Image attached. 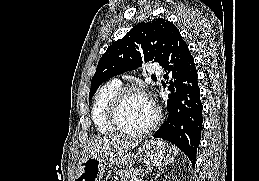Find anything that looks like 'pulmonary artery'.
Returning <instances> with one entry per match:
<instances>
[{"label": "pulmonary artery", "instance_id": "obj_1", "mask_svg": "<svg viewBox=\"0 0 259 181\" xmlns=\"http://www.w3.org/2000/svg\"><path fill=\"white\" fill-rule=\"evenodd\" d=\"M149 72L153 74H160L162 72V68L158 65L151 64L149 67ZM117 83H120L118 80H114Z\"/></svg>", "mask_w": 259, "mask_h": 181}]
</instances>
